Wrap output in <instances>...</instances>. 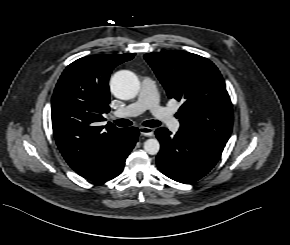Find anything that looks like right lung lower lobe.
<instances>
[{
    "mask_svg": "<svg viewBox=\"0 0 290 245\" xmlns=\"http://www.w3.org/2000/svg\"><path fill=\"white\" fill-rule=\"evenodd\" d=\"M138 135L136 127L125 128L123 146L98 168L81 176L94 182H105L118 176L123 171L125 160L134 148Z\"/></svg>",
    "mask_w": 290,
    "mask_h": 245,
    "instance_id": "obj_1",
    "label": "right lung lower lobe"
}]
</instances>
